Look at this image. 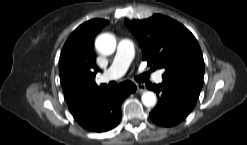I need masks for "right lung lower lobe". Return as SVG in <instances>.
I'll list each match as a JSON object with an SVG mask.
<instances>
[{
  "mask_svg": "<svg viewBox=\"0 0 247 145\" xmlns=\"http://www.w3.org/2000/svg\"><path fill=\"white\" fill-rule=\"evenodd\" d=\"M136 86L125 81L116 88H103L70 110L75 120L92 132L108 131L118 125L121 119V103Z\"/></svg>",
  "mask_w": 247,
  "mask_h": 145,
  "instance_id": "1",
  "label": "right lung lower lobe"
}]
</instances>
